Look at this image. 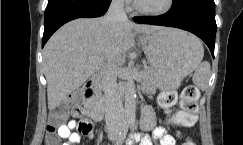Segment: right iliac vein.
<instances>
[{
  "label": "right iliac vein",
  "mask_w": 243,
  "mask_h": 145,
  "mask_svg": "<svg viewBox=\"0 0 243 145\" xmlns=\"http://www.w3.org/2000/svg\"><path fill=\"white\" fill-rule=\"evenodd\" d=\"M110 140H112V141L116 140V135H111Z\"/></svg>",
  "instance_id": "obj_1"
}]
</instances>
